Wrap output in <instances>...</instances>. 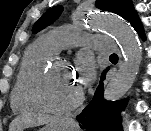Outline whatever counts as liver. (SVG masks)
Wrapping results in <instances>:
<instances>
[{"label": "liver", "instance_id": "obj_1", "mask_svg": "<svg viewBox=\"0 0 151 131\" xmlns=\"http://www.w3.org/2000/svg\"><path fill=\"white\" fill-rule=\"evenodd\" d=\"M60 121L59 118L49 115L28 113L17 116L12 120L9 131H23L25 128L32 126H40L44 124H53Z\"/></svg>", "mask_w": 151, "mask_h": 131}]
</instances>
